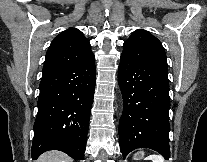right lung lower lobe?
I'll use <instances>...</instances> for the list:
<instances>
[{"mask_svg":"<svg viewBox=\"0 0 207 162\" xmlns=\"http://www.w3.org/2000/svg\"><path fill=\"white\" fill-rule=\"evenodd\" d=\"M94 89V56L43 74L34 123L33 160L48 150L84 160Z\"/></svg>","mask_w":207,"mask_h":162,"instance_id":"1","label":"right lung lower lobe"}]
</instances>
